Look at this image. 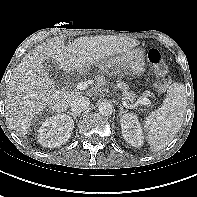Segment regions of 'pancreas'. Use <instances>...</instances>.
I'll list each match as a JSON object with an SVG mask.
<instances>
[{"instance_id": "cf45deb5", "label": "pancreas", "mask_w": 197, "mask_h": 197, "mask_svg": "<svg viewBox=\"0 0 197 197\" xmlns=\"http://www.w3.org/2000/svg\"><path fill=\"white\" fill-rule=\"evenodd\" d=\"M95 81L97 85L100 86L103 82V76L97 75ZM117 86L122 90V96L125 101L131 103L135 102V94L132 91H128V86L125 83L119 81Z\"/></svg>"}]
</instances>
